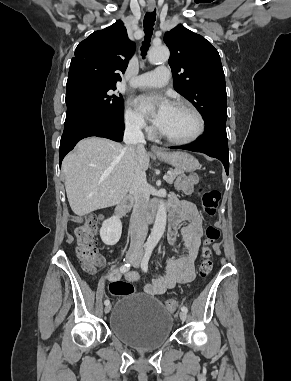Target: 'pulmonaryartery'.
Instances as JSON below:
<instances>
[{"instance_id": "pulmonary-artery-1", "label": "pulmonary artery", "mask_w": 291, "mask_h": 381, "mask_svg": "<svg viewBox=\"0 0 291 381\" xmlns=\"http://www.w3.org/2000/svg\"><path fill=\"white\" fill-rule=\"evenodd\" d=\"M169 81V69L160 66L153 71L135 77L131 84L140 89L165 86Z\"/></svg>"}]
</instances>
